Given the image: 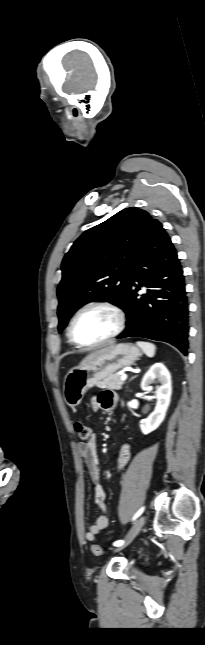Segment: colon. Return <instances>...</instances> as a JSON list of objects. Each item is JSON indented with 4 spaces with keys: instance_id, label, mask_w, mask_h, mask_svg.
<instances>
[{
    "instance_id": "colon-1",
    "label": "colon",
    "mask_w": 205,
    "mask_h": 645,
    "mask_svg": "<svg viewBox=\"0 0 205 645\" xmlns=\"http://www.w3.org/2000/svg\"><path fill=\"white\" fill-rule=\"evenodd\" d=\"M73 428H74V431L76 432V434L78 435V437L83 442H87V441L90 440L91 435H92L91 429L85 422H83L82 420H75L73 422ZM91 551H92V553L94 555L99 556V555H102L104 553V548L99 546V545L94 544V545L91 546Z\"/></svg>"
}]
</instances>
